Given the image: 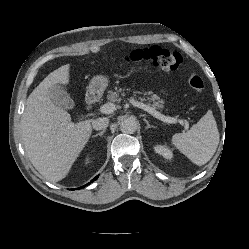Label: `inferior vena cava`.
Instances as JSON below:
<instances>
[{"label":"inferior vena cava","mask_w":249,"mask_h":249,"mask_svg":"<svg viewBox=\"0 0 249 249\" xmlns=\"http://www.w3.org/2000/svg\"><path fill=\"white\" fill-rule=\"evenodd\" d=\"M109 124V119L108 118H97L92 121V127L95 130H102L106 129Z\"/></svg>","instance_id":"inferior-vena-cava-1"}]
</instances>
